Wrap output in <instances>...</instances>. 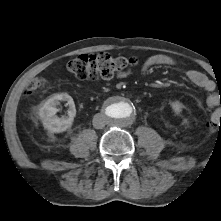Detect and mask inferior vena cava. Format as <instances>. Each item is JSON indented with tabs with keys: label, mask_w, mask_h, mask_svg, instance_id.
I'll return each instance as SVG.
<instances>
[{
	"label": "inferior vena cava",
	"mask_w": 221,
	"mask_h": 221,
	"mask_svg": "<svg viewBox=\"0 0 221 221\" xmlns=\"http://www.w3.org/2000/svg\"><path fill=\"white\" fill-rule=\"evenodd\" d=\"M93 127L95 129H102L106 124V116L103 114H96L93 117Z\"/></svg>",
	"instance_id": "inferior-vena-cava-1"
}]
</instances>
